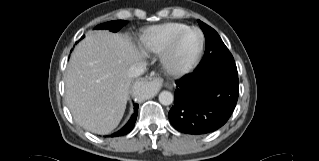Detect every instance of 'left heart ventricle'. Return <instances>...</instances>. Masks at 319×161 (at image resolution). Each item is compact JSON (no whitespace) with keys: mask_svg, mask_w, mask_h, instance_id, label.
Returning <instances> with one entry per match:
<instances>
[{"mask_svg":"<svg viewBox=\"0 0 319 161\" xmlns=\"http://www.w3.org/2000/svg\"><path fill=\"white\" fill-rule=\"evenodd\" d=\"M200 34L196 30L186 32L177 43L174 51V61L179 65L190 62L198 51Z\"/></svg>","mask_w":319,"mask_h":161,"instance_id":"obj_1","label":"left heart ventricle"}]
</instances>
